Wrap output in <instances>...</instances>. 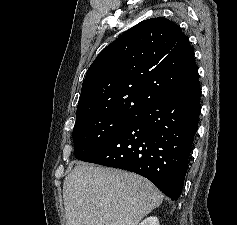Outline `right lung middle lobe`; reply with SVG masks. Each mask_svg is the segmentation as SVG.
<instances>
[{
    "instance_id": "1",
    "label": "right lung middle lobe",
    "mask_w": 237,
    "mask_h": 225,
    "mask_svg": "<svg viewBox=\"0 0 237 225\" xmlns=\"http://www.w3.org/2000/svg\"><path fill=\"white\" fill-rule=\"evenodd\" d=\"M135 115L104 114L76 120L73 129L75 158L80 160L104 144L124 128Z\"/></svg>"
}]
</instances>
